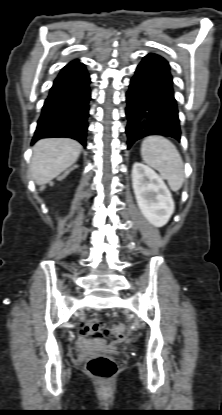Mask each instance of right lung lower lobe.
<instances>
[{
  "instance_id": "1",
  "label": "right lung lower lobe",
  "mask_w": 222,
  "mask_h": 415,
  "mask_svg": "<svg viewBox=\"0 0 222 415\" xmlns=\"http://www.w3.org/2000/svg\"><path fill=\"white\" fill-rule=\"evenodd\" d=\"M89 84V74L79 60L62 68L45 100L32 144L45 137H69L86 146Z\"/></svg>"
}]
</instances>
